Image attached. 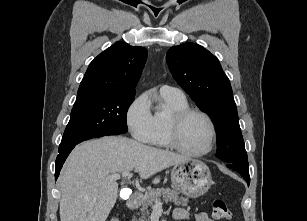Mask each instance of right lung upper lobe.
Wrapping results in <instances>:
<instances>
[{
	"mask_svg": "<svg viewBox=\"0 0 307 221\" xmlns=\"http://www.w3.org/2000/svg\"><path fill=\"white\" fill-rule=\"evenodd\" d=\"M146 58L144 47L116 42L89 64L75 102L106 94L135 93Z\"/></svg>",
	"mask_w": 307,
	"mask_h": 221,
	"instance_id": "cb5924a9",
	"label": "right lung upper lobe"
}]
</instances>
